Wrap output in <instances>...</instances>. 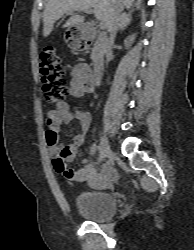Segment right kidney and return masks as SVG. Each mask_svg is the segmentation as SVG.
Returning <instances> with one entry per match:
<instances>
[{
  "instance_id": "obj_1",
  "label": "right kidney",
  "mask_w": 194,
  "mask_h": 250,
  "mask_svg": "<svg viewBox=\"0 0 194 250\" xmlns=\"http://www.w3.org/2000/svg\"><path fill=\"white\" fill-rule=\"evenodd\" d=\"M134 39H135V35H131V36H129V37L124 41V45H125V47H126L127 49L131 46V44L133 43Z\"/></svg>"
}]
</instances>
